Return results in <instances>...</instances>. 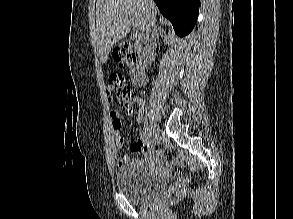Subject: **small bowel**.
I'll return each mask as SVG.
<instances>
[{
  "label": "small bowel",
  "mask_w": 293,
  "mask_h": 219,
  "mask_svg": "<svg viewBox=\"0 0 293 219\" xmlns=\"http://www.w3.org/2000/svg\"><path fill=\"white\" fill-rule=\"evenodd\" d=\"M134 102L137 105V116H136V123L139 124L143 118L144 111H145V102L143 99L136 97L134 98ZM110 117L112 120V127L116 134L117 140V147L122 148L125 142L124 136L120 133L121 122L118 116V112L116 109L111 105L110 106ZM149 146L148 138L146 135H141L137 138V140L131 145V151L134 154H140L147 150ZM135 162L131 160L129 157H123L118 161V165L120 167L134 164Z\"/></svg>",
  "instance_id": "c3829d8e"
}]
</instances>
